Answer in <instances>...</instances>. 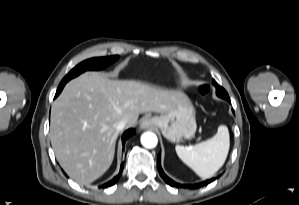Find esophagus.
Segmentation results:
<instances>
[{"label":"esophagus","instance_id":"esophagus-1","mask_svg":"<svg viewBox=\"0 0 299 205\" xmlns=\"http://www.w3.org/2000/svg\"><path fill=\"white\" fill-rule=\"evenodd\" d=\"M152 120L150 118H144L141 120L140 127L145 129L152 125Z\"/></svg>","mask_w":299,"mask_h":205}]
</instances>
